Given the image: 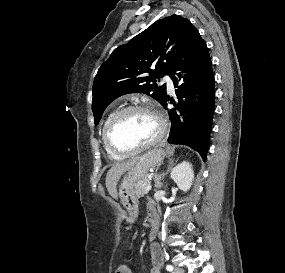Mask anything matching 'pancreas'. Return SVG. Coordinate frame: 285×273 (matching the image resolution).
<instances>
[{
    "instance_id": "obj_1",
    "label": "pancreas",
    "mask_w": 285,
    "mask_h": 273,
    "mask_svg": "<svg viewBox=\"0 0 285 273\" xmlns=\"http://www.w3.org/2000/svg\"><path fill=\"white\" fill-rule=\"evenodd\" d=\"M149 181H150V178L149 177H145L144 179H142L140 181L139 184H137L135 186V193H136V196L138 198L143 197V196H145L147 194V191H145V188H146V184H148Z\"/></svg>"
}]
</instances>
